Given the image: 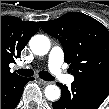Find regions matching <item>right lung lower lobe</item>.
<instances>
[{
  "mask_svg": "<svg viewBox=\"0 0 109 109\" xmlns=\"http://www.w3.org/2000/svg\"><path fill=\"white\" fill-rule=\"evenodd\" d=\"M33 79L16 76L1 82V109H14L22 96L24 85Z\"/></svg>",
  "mask_w": 109,
  "mask_h": 109,
  "instance_id": "right-lung-lower-lobe-1",
  "label": "right lung lower lobe"
}]
</instances>
